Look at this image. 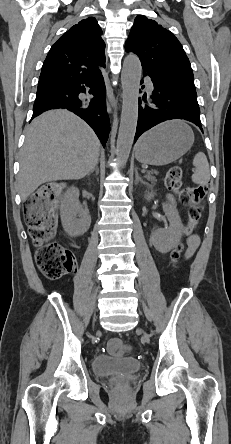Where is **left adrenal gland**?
<instances>
[{
	"label": "left adrenal gland",
	"mask_w": 231,
	"mask_h": 444,
	"mask_svg": "<svg viewBox=\"0 0 231 444\" xmlns=\"http://www.w3.org/2000/svg\"><path fill=\"white\" fill-rule=\"evenodd\" d=\"M139 182H141L142 184L149 185L145 180H143V178H141L139 176L137 168H136V170H135V184H138Z\"/></svg>",
	"instance_id": "1"
}]
</instances>
